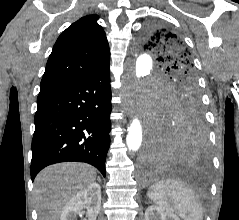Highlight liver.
Listing matches in <instances>:
<instances>
[{"mask_svg": "<svg viewBox=\"0 0 239 220\" xmlns=\"http://www.w3.org/2000/svg\"><path fill=\"white\" fill-rule=\"evenodd\" d=\"M95 179L96 170L83 163H59L43 169L34 187L39 220H59L64 205Z\"/></svg>", "mask_w": 239, "mask_h": 220, "instance_id": "liver-1", "label": "liver"}]
</instances>
